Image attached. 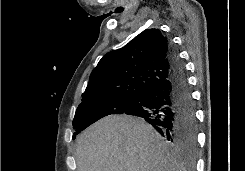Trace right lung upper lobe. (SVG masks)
I'll use <instances>...</instances> for the list:
<instances>
[{
	"label": "right lung upper lobe",
	"instance_id": "1",
	"mask_svg": "<svg viewBox=\"0 0 245 171\" xmlns=\"http://www.w3.org/2000/svg\"><path fill=\"white\" fill-rule=\"evenodd\" d=\"M170 46L159 29H147L123 48L107 53L93 69L82 101L141 96L169 77Z\"/></svg>",
	"mask_w": 245,
	"mask_h": 171
}]
</instances>
